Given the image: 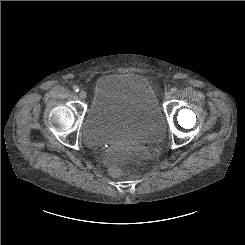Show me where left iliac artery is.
<instances>
[{"instance_id": "obj_1", "label": "left iliac artery", "mask_w": 245, "mask_h": 245, "mask_svg": "<svg viewBox=\"0 0 245 245\" xmlns=\"http://www.w3.org/2000/svg\"><path fill=\"white\" fill-rule=\"evenodd\" d=\"M177 92V88L176 87H173L172 89H171V93L172 94H175Z\"/></svg>"}]
</instances>
